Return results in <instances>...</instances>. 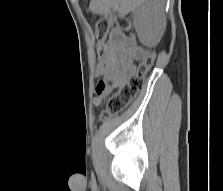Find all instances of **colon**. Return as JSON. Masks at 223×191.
<instances>
[{"mask_svg": "<svg viewBox=\"0 0 223 191\" xmlns=\"http://www.w3.org/2000/svg\"><path fill=\"white\" fill-rule=\"evenodd\" d=\"M113 22L121 31L125 33L131 31V23L127 18L118 17L116 19H111L109 17H102L98 20L96 24V37L98 40L97 51L99 55L96 56L97 73H106L107 70L111 69L107 56H105L106 46L104 40ZM154 57V53L148 54L138 65L136 73L109 99L101 115L103 119L119 114L135 99L143 87L144 77L151 68ZM96 77H99V74H96Z\"/></svg>", "mask_w": 223, "mask_h": 191, "instance_id": "1", "label": "colon"}]
</instances>
